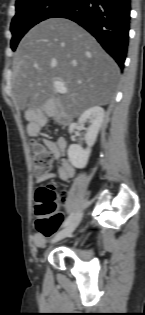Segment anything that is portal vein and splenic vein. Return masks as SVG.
I'll use <instances>...</instances> for the list:
<instances>
[{
	"label": "portal vein and splenic vein",
	"mask_w": 145,
	"mask_h": 315,
	"mask_svg": "<svg viewBox=\"0 0 145 315\" xmlns=\"http://www.w3.org/2000/svg\"><path fill=\"white\" fill-rule=\"evenodd\" d=\"M54 88L60 94H64L68 91L62 81H54Z\"/></svg>",
	"instance_id": "obj_1"
}]
</instances>
